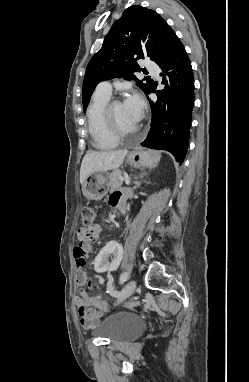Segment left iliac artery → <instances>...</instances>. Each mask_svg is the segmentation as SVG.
<instances>
[{"label":"left iliac artery","instance_id":"left-iliac-artery-1","mask_svg":"<svg viewBox=\"0 0 249 382\" xmlns=\"http://www.w3.org/2000/svg\"><path fill=\"white\" fill-rule=\"evenodd\" d=\"M127 279H128V273H127V272L122 273L121 276H120V283L122 284V283L126 282ZM109 291H110L112 294L115 293V291L113 290V288H109Z\"/></svg>","mask_w":249,"mask_h":382}]
</instances>
